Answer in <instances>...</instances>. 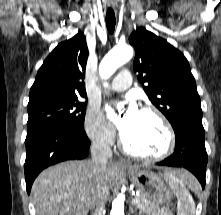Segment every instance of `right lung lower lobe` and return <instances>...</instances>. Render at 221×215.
I'll list each match as a JSON object with an SVG mask.
<instances>
[{
  "instance_id": "right-lung-lower-lobe-1",
  "label": "right lung lower lobe",
  "mask_w": 221,
  "mask_h": 215,
  "mask_svg": "<svg viewBox=\"0 0 221 215\" xmlns=\"http://www.w3.org/2000/svg\"><path fill=\"white\" fill-rule=\"evenodd\" d=\"M24 165L28 194L37 175L58 162L83 159L88 155L90 140L84 128L54 126L27 134Z\"/></svg>"
}]
</instances>
